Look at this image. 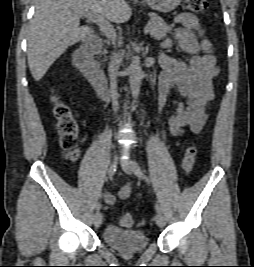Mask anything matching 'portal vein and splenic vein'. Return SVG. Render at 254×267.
Here are the masks:
<instances>
[{"instance_id": "portal-vein-and-splenic-vein-1", "label": "portal vein and splenic vein", "mask_w": 254, "mask_h": 267, "mask_svg": "<svg viewBox=\"0 0 254 267\" xmlns=\"http://www.w3.org/2000/svg\"><path fill=\"white\" fill-rule=\"evenodd\" d=\"M82 15L85 16L86 18H88L89 20L93 21L94 23H97L100 26L103 33L106 35V37L111 38V39L116 38L115 29L107 21V19L105 17H103L102 15H100L98 13H82ZM148 31H149V27L146 26L144 28V32L148 33Z\"/></svg>"}]
</instances>
